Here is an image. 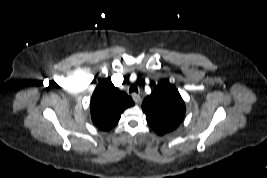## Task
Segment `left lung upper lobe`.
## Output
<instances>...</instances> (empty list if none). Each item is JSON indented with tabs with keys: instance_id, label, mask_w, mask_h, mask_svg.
I'll list each match as a JSON object with an SVG mask.
<instances>
[{
	"instance_id": "obj_1",
	"label": "left lung upper lobe",
	"mask_w": 267,
	"mask_h": 178,
	"mask_svg": "<svg viewBox=\"0 0 267 178\" xmlns=\"http://www.w3.org/2000/svg\"><path fill=\"white\" fill-rule=\"evenodd\" d=\"M142 109L149 125L158 135L176 129L186 111L181 95L168 80H162L144 99Z\"/></svg>"
}]
</instances>
